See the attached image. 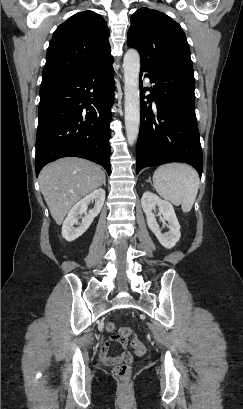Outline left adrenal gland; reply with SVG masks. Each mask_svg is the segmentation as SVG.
Segmentation results:
<instances>
[{"mask_svg":"<svg viewBox=\"0 0 243 409\" xmlns=\"http://www.w3.org/2000/svg\"><path fill=\"white\" fill-rule=\"evenodd\" d=\"M147 182H149V183H151V180H150V178L147 180Z\"/></svg>","mask_w":243,"mask_h":409,"instance_id":"left-adrenal-gland-1","label":"left adrenal gland"}]
</instances>
